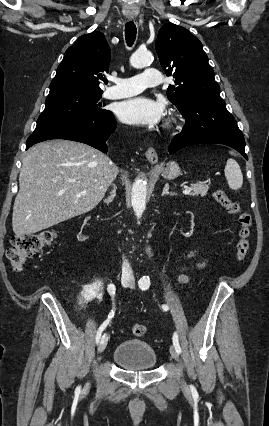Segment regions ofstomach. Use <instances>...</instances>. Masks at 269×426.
Listing matches in <instances>:
<instances>
[{
    "label": "stomach",
    "instance_id": "0dacf381",
    "mask_svg": "<svg viewBox=\"0 0 269 426\" xmlns=\"http://www.w3.org/2000/svg\"><path fill=\"white\" fill-rule=\"evenodd\" d=\"M181 174L180 167L175 161H169L166 167L162 169V176L165 179L171 180L177 178Z\"/></svg>",
    "mask_w": 269,
    "mask_h": 426
}]
</instances>
